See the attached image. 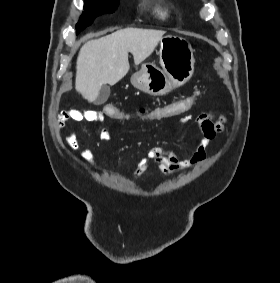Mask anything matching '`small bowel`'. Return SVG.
<instances>
[{"label": "small bowel", "mask_w": 280, "mask_h": 283, "mask_svg": "<svg viewBox=\"0 0 280 283\" xmlns=\"http://www.w3.org/2000/svg\"><path fill=\"white\" fill-rule=\"evenodd\" d=\"M152 110L140 108L136 114H150ZM187 112H183V115ZM104 119L103 111L99 110H84L71 113L65 118H61V125L70 124L73 121H89V122H101ZM123 120V119H120ZM181 121L183 123H190L193 118L190 116H184ZM197 124L200 133L201 140L196 149V152L187 159L178 158L172 151L162 147H154L147 151L146 155L139 160L136 168L130 173L133 179L140 177L151 165H155L159 168L161 173L168 177L175 172L188 170L196 165L201 164L207 156V148L210 142L220 134L226 122L225 117H216L213 113L202 112L194 119ZM110 130L106 127H102L98 130V137L101 140H108L110 138ZM68 145L72 151L79 150L78 135L75 130H71L68 136ZM82 159L91 167L95 168L94 152L90 147H84L81 150Z\"/></svg>", "instance_id": "small-bowel-1"}]
</instances>
